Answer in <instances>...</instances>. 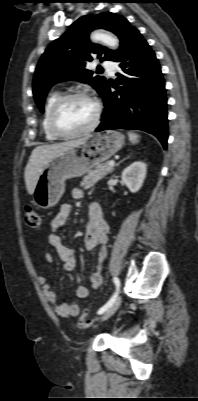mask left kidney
Returning <instances> with one entry per match:
<instances>
[{"instance_id":"1","label":"left kidney","mask_w":198,"mask_h":401,"mask_svg":"<svg viewBox=\"0 0 198 401\" xmlns=\"http://www.w3.org/2000/svg\"><path fill=\"white\" fill-rule=\"evenodd\" d=\"M146 177V164L136 161L122 172V181L130 192L136 193L140 190Z\"/></svg>"}]
</instances>
